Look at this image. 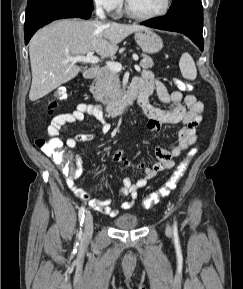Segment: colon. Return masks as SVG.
I'll return each mask as SVG.
<instances>
[{
    "label": "colon",
    "instance_id": "1",
    "mask_svg": "<svg viewBox=\"0 0 243 289\" xmlns=\"http://www.w3.org/2000/svg\"><path fill=\"white\" fill-rule=\"evenodd\" d=\"M176 85L180 89H189L190 86L183 81L176 80ZM67 93L64 88H58L52 93V99L48 102L47 111L52 114L57 107L58 101L66 99ZM36 145L49 157H51L56 164H58L63 172L69 173L72 170V157L65 153L62 149L63 143L60 139L50 138L49 140L39 138L36 140ZM196 153V149L191 150L187 157L178 165L172 173L167 182L157 192L149 194L143 200L145 208H151L156 205L162 197L168 196L176 187L179 180L184 175L190 159Z\"/></svg>",
    "mask_w": 243,
    "mask_h": 289
}]
</instances>
